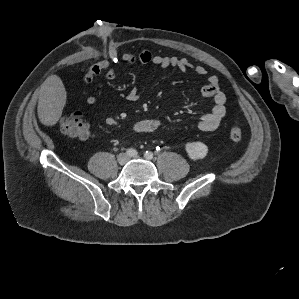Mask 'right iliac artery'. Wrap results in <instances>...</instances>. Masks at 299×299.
Here are the masks:
<instances>
[{
    "instance_id": "1",
    "label": "right iliac artery",
    "mask_w": 299,
    "mask_h": 299,
    "mask_svg": "<svg viewBox=\"0 0 299 299\" xmlns=\"http://www.w3.org/2000/svg\"><path fill=\"white\" fill-rule=\"evenodd\" d=\"M126 153H127V155H129V156H131V157H135V156H137V154H138V152H137L135 149H132V148L128 149V150L126 151Z\"/></svg>"
}]
</instances>
